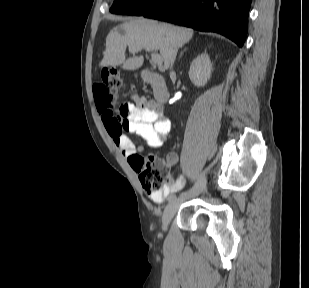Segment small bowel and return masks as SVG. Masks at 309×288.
Segmentation results:
<instances>
[{
	"label": "small bowel",
	"mask_w": 309,
	"mask_h": 288,
	"mask_svg": "<svg viewBox=\"0 0 309 288\" xmlns=\"http://www.w3.org/2000/svg\"><path fill=\"white\" fill-rule=\"evenodd\" d=\"M133 100V102L126 103L129 116L124 125H119L107 117H102V119L108 135L127 158L131 168L137 172L138 166L132 157L142 153L144 148L161 147L170 132L171 122L166 117L162 107L155 101L140 96H134ZM125 131L140 136L143 139V145L135 147L131 139L124 133ZM166 162L168 165L174 166L178 162L177 153L174 151L168 152ZM183 185V178L178 177L162 192L150 194L149 198L151 201L161 204L169 196L170 192L182 188Z\"/></svg>",
	"instance_id": "obj_1"
}]
</instances>
